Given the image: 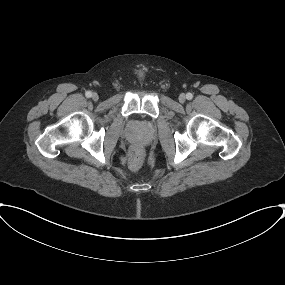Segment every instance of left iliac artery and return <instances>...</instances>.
Segmentation results:
<instances>
[{
	"instance_id": "44dca946",
	"label": "left iliac artery",
	"mask_w": 285,
	"mask_h": 285,
	"mask_svg": "<svg viewBox=\"0 0 285 285\" xmlns=\"http://www.w3.org/2000/svg\"><path fill=\"white\" fill-rule=\"evenodd\" d=\"M186 98H187L188 100H191V99L193 98L192 93H187V94H186Z\"/></svg>"
}]
</instances>
